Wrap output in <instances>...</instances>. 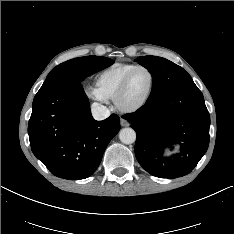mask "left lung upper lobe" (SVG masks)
Instances as JSON below:
<instances>
[{
  "label": "left lung upper lobe",
  "instance_id": "left-lung-upper-lobe-1",
  "mask_svg": "<svg viewBox=\"0 0 234 234\" xmlns=\"http://www.w3.org/2000/svg\"><path fill=\"white\" fill-rule=\"evenodd\" d=\"M136 61L145 67L153 77V86L148 100L178 83L191 79V76L182 67L162 57L144 56L137 58Z\"/></svg>",
  "mask_w": 234,
  "mask_h": 234
}]
</instances>
